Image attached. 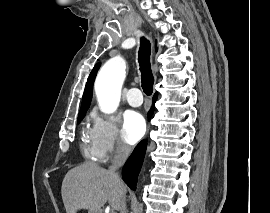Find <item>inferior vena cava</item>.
Returning <instances> with one entry per match:
<instances>
[{"label":"inferior vena cava","instance_id":"obj_1","mask_svg":"<svg viewBox=\"0 0 270 213\" xmlns=\"http://www.w3.org/2000/svg\"><path fill=\"white\" fill-rule=\"evenodd\" d=\"M130 153V147L126 144L119 143L116 149V154L112 160V165L109 167L108 171L117 178H120L116 173V170L120 168L126 159L128 158ZM120 213H126V199L123 196L121 201Z\"/></svg>","mask_w":270,"mask_h":213}]
</instances>
